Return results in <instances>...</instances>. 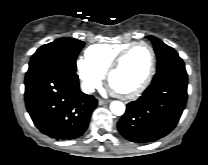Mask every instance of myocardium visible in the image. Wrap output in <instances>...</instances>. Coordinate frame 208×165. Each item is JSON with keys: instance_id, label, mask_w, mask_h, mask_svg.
Wrapping results in <instances>:
<instances>
[{"instance_id": "1", "label": "myocardium", "mask_w": 208, "mask_h": 165, "mask_svg": "<svg viewBox=\"0 0 208 165\" xmlns=\"http://www.w3.org/2000/svg\"><path fill=\"white\" fill-rule=\"evenodd\" d=\"M138 46H145L149 49L150 54H151V61H150V67L149 70L144 78V80L142 81V83L137 86L136 88L129 90V91H119L114 89L111 86V77L114 74V72L121 66L122 62L124 61V59L127 57V55L135 48ZM155 68H156V53L154 48L146 42H135L130 44L129 46H127L126 48H124L122 51H120L117 56L114 58V60L111 62L107 72H106V81L107 84L109 86V88L112 90V92L120 97V98H124V99H131V98H135L138 95H140L151 83L154 72H155Z\"/></svg>"}]
</instances>
